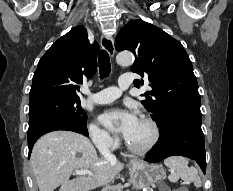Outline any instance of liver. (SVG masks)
<instances>
[{
  "mask_svg": "<svg viewBox=\"0 0 233 191\" xmlns=\"http://www.w3.org/2000/svg\"><path fill=\"white\" fill-rule=\"evenodd\" d=\"M31 167L39 191H90L114 180L124 165L98 158L96 149L85 136L65 130L42 136L34 145ZM76 170L91 174L70 180Z\"/></svg>",
  "mask_w": 233,
  "mask_h": 191,
  "instance_id": "1",
  "label": "liver"
}]
</instances>
